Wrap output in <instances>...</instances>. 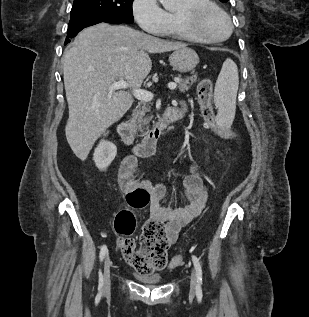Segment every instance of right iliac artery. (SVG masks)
Listing matches in <instances>:
<instances>
[{
    "mask_svg": "<svg viewBox=\"0 0 309 317\" xmlns=\"http://www.w3.org/2000/svg\"><path fill=\"white\" fill-rule=\"evenodd\" d=\"M107 253V246L106 245H103L101 247V250H100V255H99V258H100V261L102 262L105 255ZM103 286V275H102V272L99 271V288H101Z\"/></svg>",
    "mask_w": 309,
    "mask_h": 317,
    "instance_id": "right-iliac-artery-1",
    "label": "right iliac artery"
}]
</instances>
